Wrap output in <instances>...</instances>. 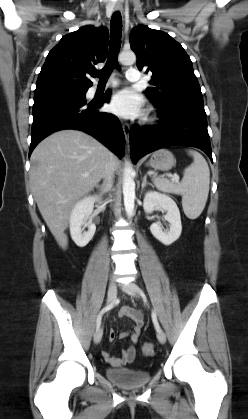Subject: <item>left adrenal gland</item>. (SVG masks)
Segmentation results:
<instances>
[{
	"instance_id": "obj_1",
	"label": "left adrenal gland",
	"mask_w": 248,
	"mask_h": 419,
	"mask_svg": "<svg viewBox=\"0 0 248 419\" xmlns=\"http://www.w3.org/2000/svg\"><path fill=\"white\" fill-rule=\"evenodd\" d=\"M147 184L151 185L150 183L147 182V176H144L142 185H141L142 190L146 187Z\"/></svg>"
}]
</instances>
